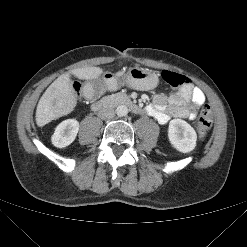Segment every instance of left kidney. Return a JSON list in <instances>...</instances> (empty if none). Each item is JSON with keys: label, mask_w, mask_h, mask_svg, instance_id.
Listing matches in <instances>:
<instances>
[{"label": "left kidney", "mask_w": 247, "mask_h": 247, "mask_svg": "<svg viewBox=\"0 0 247 247\" xmlns=\"http://www.w3.org/2000/svg\"><path fill=\"white\" fill-rule=\"evenodd\" d=\"M168 139L176 150L188 153L195 148L197 135L193 127L186 121L173 119L169 122Z\"/></svg>", "instance_id": "1"}]
</instances>
